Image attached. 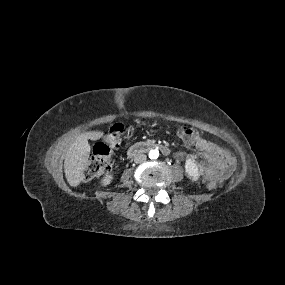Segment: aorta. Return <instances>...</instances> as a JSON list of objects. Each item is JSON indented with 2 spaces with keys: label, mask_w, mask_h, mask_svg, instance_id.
I'll use <instances>...</instances> for the list:
<instances>
[{
  "label": "aorta",
  "mask_w": 285,
  "mask_h": 285,
  "mask_svg": "<svg viewBox=\"0 0 285 285\" xmlns=\"http://www.w3.org/2000/svg\"><path fill=\"white\" fill-rule=\"evenodd\" d=\"M148 156L150 159H157L159 157V151L157 149H151Z\"/></svg>",
  "instance_id": "1"
}]
</instances>
